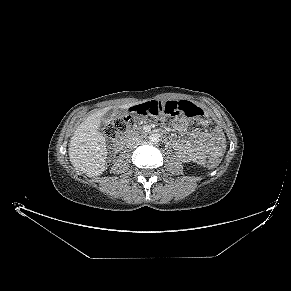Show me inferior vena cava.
<instances>
[{
    "label": "inferior vena cava",
    "mask_w": 291,
    "mask_h": 291,
    "mask_svg": "<svg viewBox=\"0 0 291 291\" xmlns=\"http://www.w3.org/2000/svg\"><path fill=\"white\" fill-rule=\"evenodd\" d=\"M140 144H141V139L139 137L132 136V137H130V138L127 139L126 146L128 148H135V147H137Z\"/></svg>",
    "instance_id": "inferior-vena-cava-1"
}]
</instances>
